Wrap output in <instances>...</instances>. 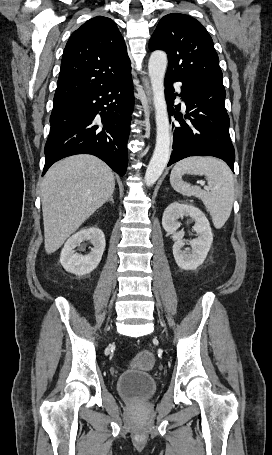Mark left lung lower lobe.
Segmentation results:
<instances>
[{
    "label": "left lung lower lobe",
    "mask_w": 272,
    "mask_h": 455,
    "mask_svg": "<svg viewBox=\"0 0 272 455\" xmlns=\"http://www.w3.org/2000/svg\"><path fill=\"white\" fill-rule=\"evenodd\" d=\"M182 82L181 94L186 105L173 107V82ZM165 93L172 123L173 150L168 166L189 156H214L234 171L235 151L229 135V116L225 109L226 92L222 81L184 74L165 76ZM175 97V95H173Z\"/></svg>",
    "instance_id": "left-lung-lower-lobe-1"
}]
</instances>
